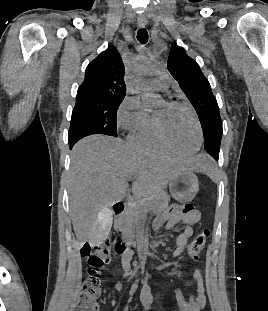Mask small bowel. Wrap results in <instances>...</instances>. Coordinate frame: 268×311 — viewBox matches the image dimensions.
<instances>
[{
  "instance_id": "c3829d8e",
  "label": "small bowel",
  "mask_w": 268,
  "mask_h": 311,
  "mask_svg": "<svg viewBox=\"0 0 268 311\" xmlns=\"http://www.w3.org/2000/svg\"><path fill=\"white\" fill-rule=\"evenodd\" d=\"M200 214L194 210L191 205H186L184 208L173 207L165 214L160 216L154 221L153 228L159 230L165 228L171 229L177 224L184 226L183 231L176 238L177 248L174 251V257L180 256L188 245L189 239L193 236V225L198 223ZM133 256V250L128 248L122 254V267L126 275L131 273V260ZM193 279L197 284V294L191 296L188 300L184 298L180 290H176V299L180 311H200L206 305V291L204 285L203 274L200 270L193 272ZM122 285L117 284V289H121ZM141 303L146 311H149L152 307L153 297L148 286H144L140 294Z\"/></svg>"
}]
</instances>
